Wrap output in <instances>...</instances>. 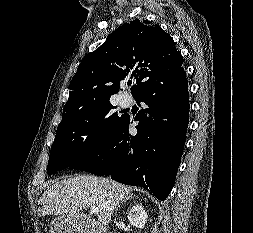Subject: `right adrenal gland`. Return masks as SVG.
Segmentation results:
<instances>
[{
  "mask_svg": "<svg viewBox=\"0 0 253 233\" xmlns=\"http://www.w3.org/2000/svg\"><path fill=\"white\" fill-rule=\"evenodd\" d=\"M124 202H126V201H124ZM123 202H121V204H122ZM119 206V205H118ZM118 206H117V208H118ZM117 208H116V210H117Z\"/></svg>",
  "mask_w": 253,
  "mask_h": 233,
  "instance_id": "obj_1",
  "label": "right adrenal gland"
}]
</instances>
